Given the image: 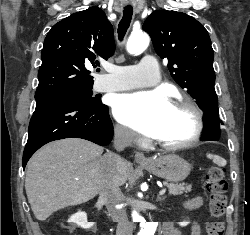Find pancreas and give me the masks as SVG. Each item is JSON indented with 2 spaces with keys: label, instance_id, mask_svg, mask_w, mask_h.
Here are the masks:
<instances>
[{
  "label": "pancreas",
  "instance_id": "pancreas-1",
  "mask_svg": "<svg viewBox=\"0 0 250 235\" xmlns=\"http://www.w3.org/2000/svg\"><path fill=\"white\" fill-rule=\"evenodd\" d=\"M167 187L169 189L170 195H180L184 192L191 191V185L170 183V184H167Z\"/></svg>",
  "mask_w": 250,
  "mask_h": 235
}]
</instances>
